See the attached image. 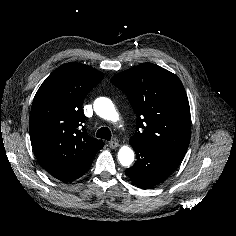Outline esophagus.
Wrapping results in <instances>:
<instances>
[{
	"instance_id": "obj_1",
	"label": "esophagus",
	"mask_w": 236,
	"mask_h": 236,
	"mask_svg": "<svg viewBox=\"0 0 236 236\" xmlns=\"http://www.w3.org/2000/svg\"><path fill=\"white\" fill-rule=\"evenodd\" d=\"M118 146H119V143L116 142V141L109 142V147L112 148V149H114V148H116Z\"/></svg>"
}]
</instances>
